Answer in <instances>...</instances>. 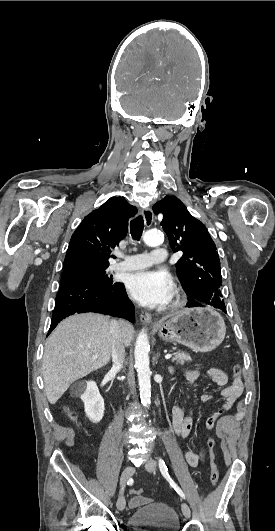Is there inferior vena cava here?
Here are the masks:
<instances>
[{
    "label": "inferior vena cava",
    "instance_id": "602c4592",
    "mask_svg": "<svg viewBox=\"0 0 275 531\" xmlns=\"http://www.w3.org/2000/svg\"><path fill=\"white\" fill-rule=\"evenodd\" d=\"M109 329L111 333V345H112V369L113 371H121L123 369L125 361V347L122 341V331L118 321H110Z\"/></svg>",
    "mask_w": 275,
    "mask_h": 531
}]
</instances>
